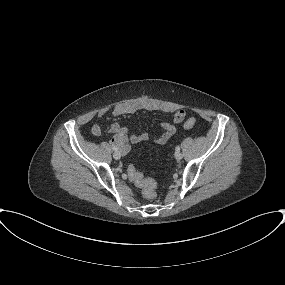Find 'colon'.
<instances>
[{
    "instance_id": "obj_1",
    "label": "colon",
    "mask_w": 285,
    "mask_h": 285,
    "mask_svg": "<svg viewBox=\"0 0 285 285\" xmlns=\"http://www.w3.org/2000/svg\"><path fill=\"white\" fill-rule=\"evenodd\" d=\"M183 114L180 112L177 115L178 119H181ZM196 120L194 118H189L184 122V128L191 129L195 126ZM128 174L130 179L139 187L142 188L143 195L148 199H153L156 197V184L150 179L146 178L135 166H128Z\"/></svg>"
}]
</instances>
